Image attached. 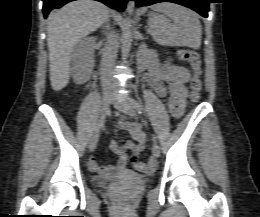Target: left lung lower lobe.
Returning a JSON list of instances; mask_svg holds the SVG:
<instances>
[{"label": "left lung lower lobe", "mask_w": 260, "mask_h": 217, "mask_svg": "<svg viewBox=\"0 0 260 217\" xmlns=\"http://www.w3.org/2000/svg\"><path fill=\"white\" fill-rule=\"evenodd\" d=\"M135 1L137 7L149 6L159 2H172L189 7L198 12L203 17L208 16L210 0H130Z\"/></svg>", "instance_id": "0a47b994"}]
</instances>
